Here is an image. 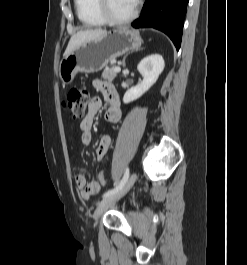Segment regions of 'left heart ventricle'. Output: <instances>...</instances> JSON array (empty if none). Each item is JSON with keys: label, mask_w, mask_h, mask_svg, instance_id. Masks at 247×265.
Segmentation results:
<instances>
[{"label": "left heart ventricle", "mask_w": 247, "mask_h": 265, "mask_svg": "<svg viewBox=\"0 0 247 265\" xmlns=\"http://www.w3.org/2000/svg\"><path fill=\"white\" fill-rule=\"evenodd\" d=\"M136 0H109L112 14L118 18L127 17L134 9Z\"/></svg>", "instance_id": "b2bd125f"}]
</instances>
